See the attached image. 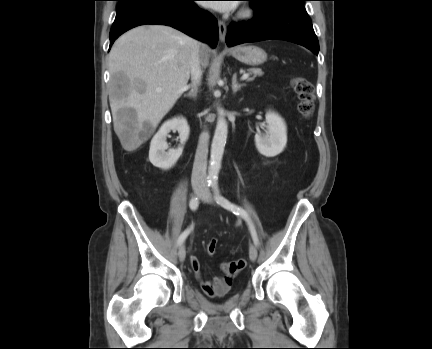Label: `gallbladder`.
Listing matches in <instances>:
<instances>
[{
	"instance_id": "gallbladder-1",
	"label": "gallbladder",
	"mask_w": 432,
	"mask_h": 349,
	"mask_svg": "<svg viewBox=\"0 0 432 349\" xmlns=\"http://www.w3.org/2000/svg\"><path fill=\"white\" fill-rule=\"evenodd\" d=\"M120 77H121V75H120ZM117 115L119 116V115H120V113H118Z\"/></svg>"
}]
</instances>
